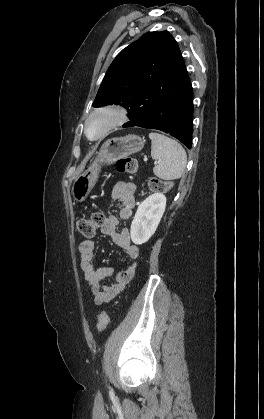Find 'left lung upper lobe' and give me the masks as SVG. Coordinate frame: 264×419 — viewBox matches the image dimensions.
Returning a JSON list of instances; mask_svg holds the SVG:
<instances>
[{"mask_svg": "<svg viewBox=\"0 0 264 419\" xmlns=\"http://www.w3.org/2000/svg\"><path fill=\"white\" fill-rule=\"evenodd\" d=\"M177 42L167 31L148 32L123 49L114 59L93 102L94 107L120 104L128 111L177 71Z\"/></svg>", "mask_w": 264, "mask_h": 419, "instance_id": "1", "label": "left lung upper lobe"}]
</instances>
